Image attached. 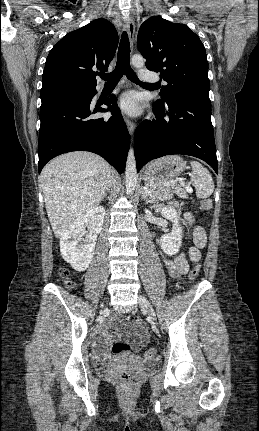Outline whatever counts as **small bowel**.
Returning a JSON list of instances; mask_svg holds the SVG:
<instances>
[{
	"label": "small bowel",
	"instance_id": "c3829d8e",
	"mask_svg": "<svg viewBox=\"0 0 259 431\" xmlns=\"http://www.w3.org/2000/svg\"><path fill=\"white\" fill-rule=\"evenodd\" d=\"M184 219L189 226L192 225L193 216L191 213H186ZM190 233L194 245L190 247L188 255L191 262L197 263L200 260V249L206 244V235L204 229L198 226L192 228ZM164 263L169 273L174 277L186 273L188 269V262L183 254H178L174 258L164 257ZM109 329H114L118 338L129 343L135 352L140 351L147 341V331L140 320L124 323L120 319H114L102 325L95 335L96 351L101 356H107V348L112 341L108 333Z\"/></svg>",
	"mask_w": 259,
	"mask_h": 431
}]
</instances>
